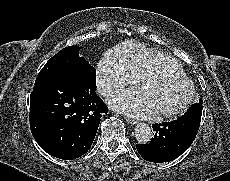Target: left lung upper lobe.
I'll return each instance as SVG.
<instances>
[{
	"instance_id": "1",
	"label": "left lung upper lobe",
	"mask_w": 230,
	"mask_h": 181,
	"mask_svg": "<svg viewBox=\"0 0 230 181\" xmlns=\"http://www.w3.org/2000/svg\"><path fill=\"white\" fill-rule=\"evenodd\" d=\"M200 104H202L203 102H202V99H200V102H199Z\"/></svg>"
}]
</instances>
